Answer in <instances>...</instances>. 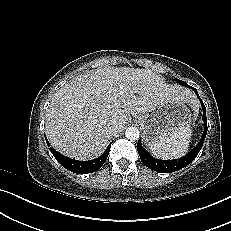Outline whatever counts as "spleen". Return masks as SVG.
I'll return each instance as SVG.
<instances>
[{
  "label": "spleen",
  "instance_id": "spleen-1",
  "mask_svg": "<svg viewBox=\"0 0 231 231\" xmlns=\"http://www.w3.org/2000/svg\"><path fill=\"white\" fill-rule=\"evenodd\" d=\"M192 129L189 125L179 127L170 136L150 144L152 155L159 159H177L183 157L190 144Z\"/></svg>",
  "mask_w": 231,
  "mask_h": 231
}]
</instances>
